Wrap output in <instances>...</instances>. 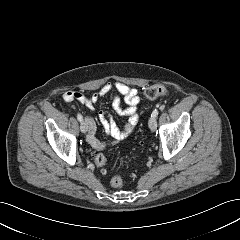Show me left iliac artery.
<instances>
[{
    "instance_id": "1",
    "label": "left iliac artery",
    "mask_w": 240,
    "mask_h": 240,
    "mask_svg": "<svg viewBox=\"0 0 240 240\" xmlns=\"http://www.w3.org/2000/svg\"><path fill=\"white\" fill-rule=\"evenodd\" d=\"M157 116H158V110L155 109V110L152 112L151 117L156 118Z\"/></svg>"
}]
</instances>
